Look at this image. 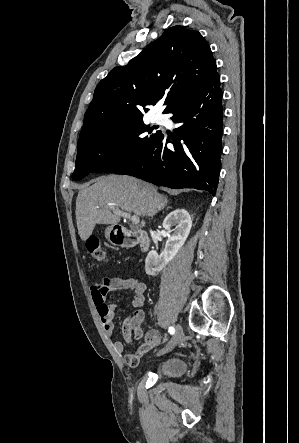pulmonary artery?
<instances>
[{"label":"pulmonary artery","instance_id":"1","mask_svg":"<svg viewBox=\"0 0 299 443\" xmlns=\"http://www.w3.org/2000/svg\"><path fill=\"white\" fill-rule=\"evenodd\" d=\"M152 119L154 122H161L163 120V116L161 114L157 113L152 116Z\"/></svg>","mask_w":299,"mask_h":443}]
</instances>
